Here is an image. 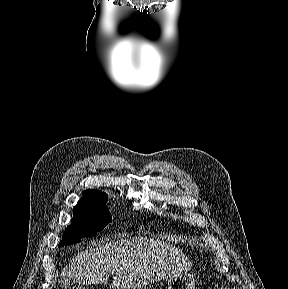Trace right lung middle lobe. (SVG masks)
Returning <instances> with one entry per match:
<instances>
[{"label":"right lung middle lobe","mask_w":288,"mask_h":289,"mask_svg":"<svg viewBox=\"0 0 288 289\" xmlns=\"http://www.w3.org/2000/svg\"><path fill=\"white\" fill-rule=\"evenodd\" d=\"M107 195L82 198L74 207L71 225L64 232L59 246L78 243L82 237L93 236L111 222L105 202Z\"/></svg>","instance_id":"1"}]
</instances>
